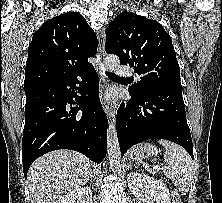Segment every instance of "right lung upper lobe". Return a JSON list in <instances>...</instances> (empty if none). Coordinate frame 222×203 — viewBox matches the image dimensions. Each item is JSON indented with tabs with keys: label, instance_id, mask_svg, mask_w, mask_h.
Wrapping results in <instances>:
<instances>
[{
	"label": "right lung upper lobe",
	"instance_id": "cb5924a9",
	"mask_svg": "<svg viewBox=\"0 0 222 203\" xmlns=\"http://www.w3.org/2000/svg\"><path fill=\"white\" fill-rule=\"evenodd\" d=\"M97 37L77 12L46 21L28 47L25 92L59 79L76 77L93 69L88 62L97 51Z\"/></svg>",
	"mask_w": 222,
	"mask_h": 203
}]
</instances>
